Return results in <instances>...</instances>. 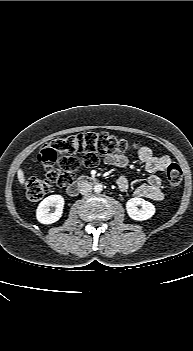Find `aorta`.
Wrapping results in <instances>:
<instances>
[{
  "label": "aorta",
  "mask_w": 193,
  "mask_h": 351,
  "mask_svg": "<svg viewBox=\"0 0 193 351\" xmlns=\"http://www.w3.org/2000/svg\"><path fill=\"white\" fill-rule=\"evenodd\" d=\"M94 191L96 192V193H100V192H102V190H103V185L102 184H100V183H97V184H95L94 185Z\"/></svg>",
  "instance_id": "aorta-1"
}]
</instances>
